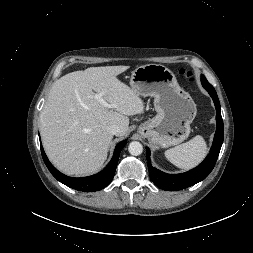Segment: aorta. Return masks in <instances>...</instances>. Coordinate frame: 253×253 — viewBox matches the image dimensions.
Returning a JSON list of instances; mask_svg holds the SVG:
<instances>
[{
  "mask_svg": "<svg viewBox=\"0 0 253 253\" xmlns=\"http://www.w3.org/2000/svg\"><path fill=\"white\" fill-rule=\"evenodd\" d=\"M128 151L133 156H138L143 152V146L138 141H132L128 146Z\"/></svg>",
  "mask_w": 253,
  "mask_h": 253,
  "instance_id": "762f6f07",
  "label": "aorta"
}]
</instances>
